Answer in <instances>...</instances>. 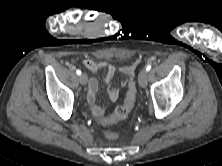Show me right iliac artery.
Masks as SVG:
<instances>
[{
	"label": "right iliac artery",
	"mask_w": 222,
	"mask_h": 166,
	"mask_svg": "<svg viewBox=\"0 0 222 166\" xmlns=\"http://www.w3.org/2000/svg\"><path fill=\"white\" fill-rule=\"evenodd\" d=\"M76 74L77 75H81V71L78 69V70H76Z\"/></svg>",
	"instance_id": "1"
}]
</instances>
